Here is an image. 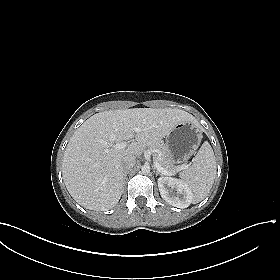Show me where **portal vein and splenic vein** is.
<instances>
[{
    "mask_svg": "<svg viewBox=\"0 0 280 280\" xmlns=\"http://www.w3.org/2000/svg\"><path fill=\"white\" fill-rule=\"evenodd\" d=\"M133 130H134L136 133H139V132L142 131L141 128H139V127H135ZM127 145H128L127 142H121V143H117L115 146H116V148H118V149H123V148H126ZM154 166L156 167V169H157L158 171H160V172H161L162 174H164V175H169V176L174 175L173 172H169V171H167L166 169H164L163 167H161V165H160L157 161H154Z\"/></svg>",
    "mask_w": 280,
    "mask_h": 280,
    "instance_id": "obj_1",
    "label": "portal vein and splenic vein"
}]
</instances>
